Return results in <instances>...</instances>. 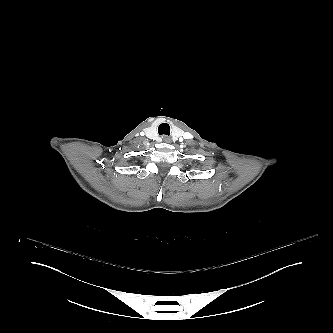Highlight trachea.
<instances>
[{
    "mask_svg": "<svg viewBox=\"0 0 333 333\" xmlns=\"http://www.w3.org/2000/svg\"><path fill=\"white\" fill-rule=\"evenodd\" d=\"M159 135H170V126L167 123H162L158 127Z\"/></svg>",
    "mask_w": 333,
    "mask_h": 333,
    "instance_id": "3493384b",
    "label": "trachea"
}]
</instances>
